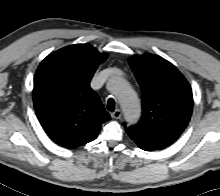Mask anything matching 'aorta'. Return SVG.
<instances>
[{
    "instance_id": "1",
    "label": "aorta",
    "mask_w": 220,
    "mask_h": 196,
    "mask_svg": "<svg viewBox=\"0 0 220 196\" xmlns=\"http://www.w3.org/2000/svg\"><path fill=\"white\" fill-rule=\"evenodd\" d=\"M107 87L117 96L125 120L130 124L137 122L141 113L140 101L130 84L125 79L115 76L109 79Z\"/></svg>"
}]
</instances>
